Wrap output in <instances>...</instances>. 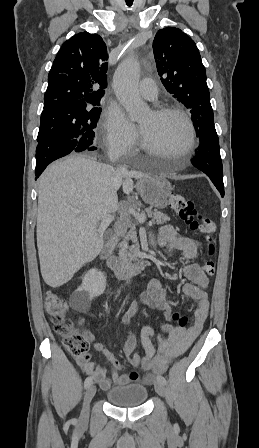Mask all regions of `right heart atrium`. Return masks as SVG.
Instances as JSON below:
<instances>
[{"label":"right heart atrium","instance_id":"d8ad5b80","mask_svg":"<svg viewBox=\"0 0 259 448\" xmlns=\"http://www.w3.org/2000/svg\"><path fill=\"white\" fill-rule=\"evenodd\" d=\"M100 144L104 152H112V157H129L139 148V135L121 109L108 111L101 127Z\"/></svg>","mask_w":259,"mask_h":448}]
</instances>
